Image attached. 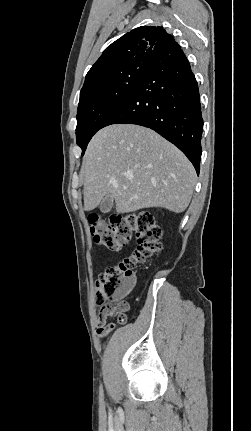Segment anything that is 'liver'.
<instances>
[{
	"instance_id": "liver-1",
	"label": "liver",
	"mask_w": 251,
	"mask_h": 431,
	"mask_svg": "<svg viewBox=\"0 0 251 431\" xmlns=\"http://www.w3.org/2000/svg\"><path fill=\"white\" fill-rule=\"evenodd\" d=\"M81 176L86 211L110 196L117 213L150 207L180 213L188 207L196 184L195 169L179 149L151 129L133 124L99 130L87 147Z\"/></svg>"
}]
</instances>
